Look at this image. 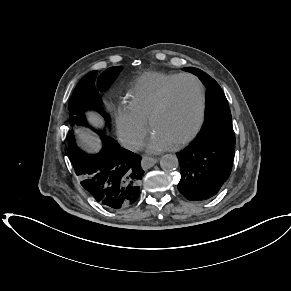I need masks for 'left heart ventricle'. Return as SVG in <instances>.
<instances>
[{"mask_svg": "<svg viewBox=\"0 0 291 291\" xmlns=\"http://www.w3.org/2000/svg\"><path fill=\"white\" fill-rule=\"evenodd\" d=\"M198 113V87L194 81L185 79L172 91L167 108L155 120L153 132L174 144L192 131Z\"/></svg>", "mask_w": 291, "mask_h": 291, "instance_id": "b2bd125f", "label": "left heart ventricle"}]
</instances>
